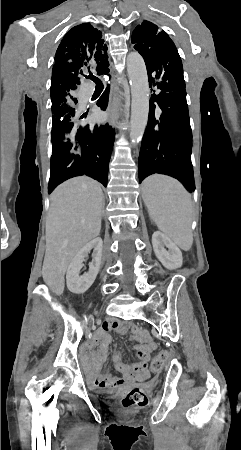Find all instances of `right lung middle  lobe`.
<instances>
[{
    "label": "right lung middle lobe",
    "mask_w": 241,
    "mask_h": 450,
    "mask_svg": "<svg viewBox=\"0 0 241 450\" xmlns=\"http://www.w3.org/2000/svg\"><path fill=\"white\" fill-rule=\"evenodd\" d=\"M77 99L73 96H69L62 100L52 101V143L54 145H71L74 143V137L72 134H62L57 131L55 124L58 120H61L65 116H70L75 119L76 112L75 106Z\"/></svg>",
    "instance_id": "right-lung-middle-lobe-1"
}]
</instances>
